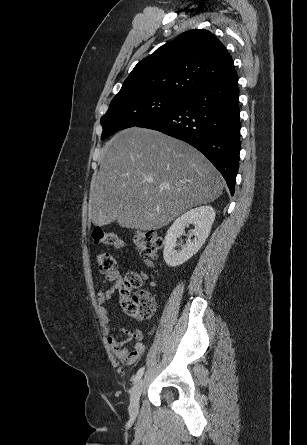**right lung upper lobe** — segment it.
Returning a JSON list of instances; mask_svg holds the SVG:
<instances>
[{
    "mask_svg": "<svg viewBox=\"0 0 307 445\" xmlns=\"http://www.w3.org/2000/svg\"><path fill=\"white\" fill-rule=\"evenodd\" d=\"M234 70L233 60L224 45L210 31L194 29L141 60L117 95L185 97Z\"/></svg>",
    "mask_w": 307,
    "mask_h": 445,
    "instance_id": "cb5924a9",
    "label": "right lung upper lobe"
}]
</instances>
